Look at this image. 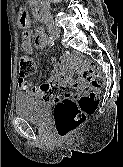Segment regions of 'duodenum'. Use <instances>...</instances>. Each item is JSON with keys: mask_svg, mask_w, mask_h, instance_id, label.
Returning a JSON list of instances; mask_svg holds the SVG:
<instances>
[{"mask_svg": "<svg viewBox=\"0 0 123 167\" xmlns=\"http://www.w3.org/2000/svg\"><path fill=\"white\" fill-rule=\"evenodd\" d=\"M35 13L37 14V17L39 18L41 24H43L45 22V12L41 7L40 0H36Z\"/></svg>", "mask_w": 123, "mask_h": 167, "instance_id": "obj_1", "label": "duodenum"}]
</instances>
